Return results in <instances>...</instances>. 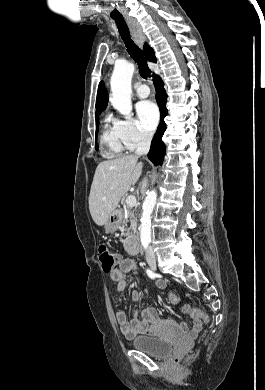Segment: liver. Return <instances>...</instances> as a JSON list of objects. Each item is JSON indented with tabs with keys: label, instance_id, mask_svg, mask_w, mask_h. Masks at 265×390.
Instances as JSON below:
<instances>
[{
	"label": "liver",
	"instance_id": "6515ba94",
	"mask_svg": "<svg viewBox=\"0 0 265 390\" xmlns=\"http://www.w3.org/2000/svg\"><path fill=\"white\" fill-rule=\"evenodd\" d=\"M142 168L143 163H138L137 155L103 161L97 166L89 195V210L98 226L105 224L122 196L138 181Z\"/></svg>",
	"mask_w": 265,
	"mask_h": 390
}]
</instances>
